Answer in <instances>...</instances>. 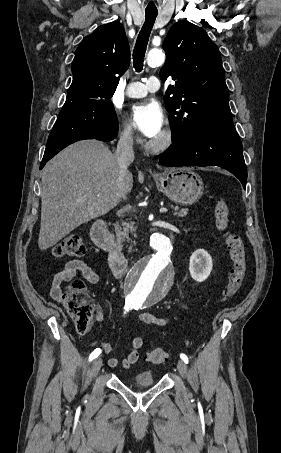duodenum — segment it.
I'll return each mask as SVG.
<instances>
[{"mask_svg": "<svg viewBox=\"0 0 281 453\" xmlns=\"http://www.w3.org/2000/svg\"><path fill=\"white\" fill-rule=\"evenodd\" d=\"M91 236L93 242L102 250L108 253L109 265L113 274L120 278L128 270V261L125 255L114 244L113 237L104 221H98L92 228Z\"/></svg>", "mask_w": 281, "mask_h": 453, "instance_id": "410a0bca", "label": "duodenum"}]
</instances>
